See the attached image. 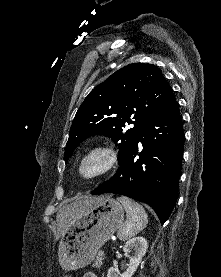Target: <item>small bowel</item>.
<instances>
[{"label":"small bowel","mask_w":221,"mask_h":277,"mask_svg":"<svg viewBox=\"0 0 221 277\" xmlns=\"http://www.w3.org/2000/svg\"><path fill=\"white\" fill-rule=\"evenodd\" d=\"M83 277H97L94 273H86Z\"/></svg>","instance_id":"obj_1"}]
</instances>
